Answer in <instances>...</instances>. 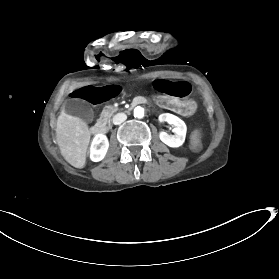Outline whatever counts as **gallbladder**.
<instances>
[{
  "label": "gallbladder",
  "mask_w": 279,
  "mask_h": 279,
  "mask_svg": "<svg viewBox=\"0 0 279 279\" xmlns=\"http://www.w3.org/2000/svg\"><path fill=\"white\" fill-rule=\"evenodd\" d=\"M65 111L74 116L79 115L83 121H91L94 118V111L87 102L70 101Z\"/></svg>",
  "instance_id": "gallbladder-1"
}]
</instances>
